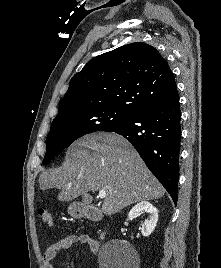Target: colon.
Wrapping results in <instances>:
<instances>
[{"instance_id": "obj_1", "label": "colon", "mask_w": 221, "mask_h": 268, "mask_svg": "<svg viewBox=\"0 0 221 268\" xmlns=\"http://www.w3.org/2000/svg\"><path fill=\"white\" fill-rule=\"evenodd\" d=\"M39 215L42 218V220L47 223L49 226L54 225V219L50 211L47 209H40L39 210Z\"/></svg>"}]
</instances>
